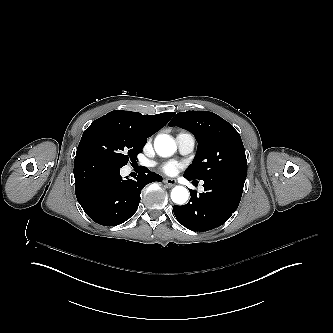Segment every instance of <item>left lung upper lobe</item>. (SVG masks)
<instances>
[{
	"instance_id": "1",
	"label": "left lung upper lobe",
	"mask_w": 333,
	"mask_h": 333,
	"mask_svg": "<svg viewBox=\"0 0 333 333\" xmlns=\"http://www.w3.org/2000/svg\"><path fill=\"white\" fill-rule=\"evenodd\" d=\"M169 125L189 130L198 142L185 176L204 183L222 176L246 179L247 160L241 137L223 118L208 111H187L178 113Z\"/></svg>"
}]
</instances>
